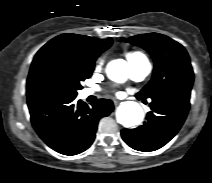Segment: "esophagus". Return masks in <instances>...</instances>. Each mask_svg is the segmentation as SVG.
Listing matches in <instances>:
<instances>
[{
	"label": "esophagus",
	"instance_id": "esophagus-1",
	"mask_svg": "<svg viewBox=\"0 0 212 183\" xmlns=\"http://www.w3.org/2000/svg\"><path fill=\"white\" fill-rule=\"evenodd\" d=\"M113 102H114L115 105H118L119 104V101L118 100H114Z\"/></svg>",
	"mask_w": 212,
	"mask_h": 183
}]
</instances>
